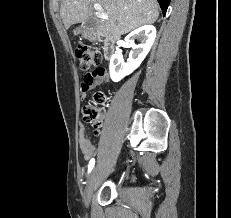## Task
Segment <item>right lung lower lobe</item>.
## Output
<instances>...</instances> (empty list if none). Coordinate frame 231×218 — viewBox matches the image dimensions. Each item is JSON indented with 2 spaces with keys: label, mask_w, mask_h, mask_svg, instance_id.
<instances>
[{
  "label": "right lung lower lobe",
  "mask_w": 231,
  "mask_h": 218,
  "mask_svg": "<svg viewBox=\"0 0 231 218\" xmlns=\"http://www.w3.org/2000/svg\"><path fill=\"white\" fill-rule=\"evenodd\" d=\"M160 4L163 14L166 13L170 0H157Z\"/></svg>",
  "instance_id": "98d812e1"
}]
</instances>
